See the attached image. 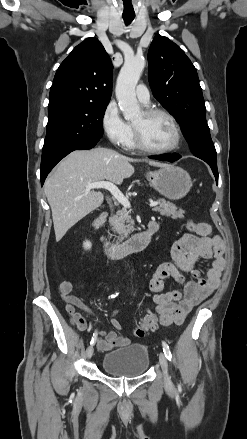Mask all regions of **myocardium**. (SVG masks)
Wrapping results in <instances>:
<instances>
[{
  "label": "myocardium",
  "mask_w": 247,
  "mask_h": 439,
  "mask_svg": "<svg viewBox=\"0 0 247 439\" xmlns=\"http://www.w3.org/2000/svg\"><path fill=\"white\" fill-rule=\"evenodd\" d=\"M143 114L147 118H151L158 115L166 117L173 126L175 132V139L173 144L170 145L169 147L160 148V149L152 148L144 142L141 131L135 125H133V133H134V140L136 147H138L140 150L144 152L151 154H166L177 150L182 142V130L175 116L171 114L169 111L160 108L147 109L143 112Z\"/></svg>",
  "instance_id": "1"
}]
</instances>
